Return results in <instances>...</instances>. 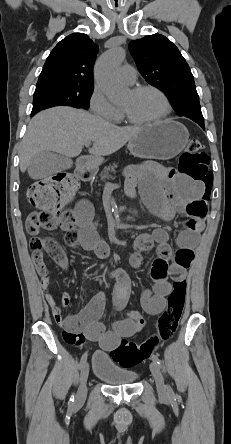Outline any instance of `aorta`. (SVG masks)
<instances>
[{
    "instance_id": "762f6f07",
    "label": "aorta",
    "mask_w": 231,
    "mask_h": 444,
    "mask_svg": "<svg viewBox=\"0 0 231 444\" xmlns=\"http://www.w3.org/2000/svg\"><path fill=\"white\" fill-rule=\"evenodd\" d=\"M124 58V49L120 46H116L102 55L96 63V81L106 94L107 98L112 102L123 98L127 91L117 77V69L123 62Z\"/></svg>"
}]
</instances>
